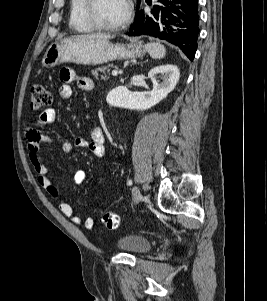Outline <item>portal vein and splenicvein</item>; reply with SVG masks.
<instances>
[{
    "mask_svg": "<svg viewBox=\"0 0 267 301\" xmlns=\"http://www.w3.org/2000/svg\"><path fill=\"white\" fill-rule=\"evenodd\" d=\"M118 75V70L117 69H114L113 71H112V76H117Z\"/></svg>",
    "mask_w": 267,
    "mask_h": 301,
    "instance_id": "18ae733b",
    "label": "portal vein and splenic vein"
}]
</instances>
